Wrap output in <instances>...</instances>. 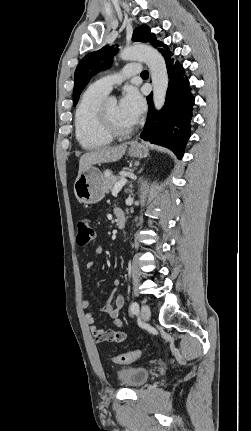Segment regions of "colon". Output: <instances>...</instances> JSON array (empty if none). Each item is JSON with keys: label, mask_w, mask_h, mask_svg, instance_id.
<instances>
[{"label": "colon", "mask_w": 251, "mask_h": 431, "mask_svg": "<svg viewBox=\"0 0 251 431\" xmlns=\"http://www.w3.org/2000/svg\"><path fill=\"white\" fill-rule=\"evenodd\" d=\"M76 242L78 246L85 247L91 244L95 238V231L91 222L87 218H80L76 224ZM143 354L141 349H136L125 354L117 355L113 361L118 364H127L139 359Z\"/></svg>", "instance_id": "colon-1"}]
</instances>
